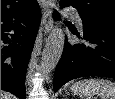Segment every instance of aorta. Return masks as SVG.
Segmentation results:
<instances>
[{
  "label": "aorta",
  "instance_id": "762f6f07",
  "mask_svg": "<svg viewBox=\"0 0 115 99\" xmlns=\"http://www.w3.org/2000/svg\"><path fill=\"white\" fill-rule=\"evenodd\" d=\"M64 42L65 38L63 30L60 27L55 26L48 36L42 53L41 70L44 74H48L55 69L62 56Z\"/></svg>",
  "mask_w": 115,
  "mask_h": 99
}]
</instances>
